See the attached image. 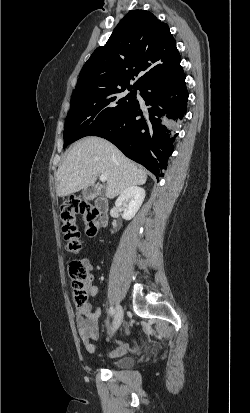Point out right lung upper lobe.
<instances>
[{
  "mask_svg": "<svg viewBox=\"0 0 250 413\" xmlns=\"http://www.w3.org/2000/svg\"><path fill=\"white\" fill-rule=\"evenodd\" d=\"M180 54L167 24L151 12L130 11L106 45L98 47L83 66L73 94L123 87L175 76L183 71ZM142 73L132 86L131 80Z\"/></svg>",
  "mask_w": 250,
  "mask_h": 413,
  "instance_id": "right-lung-upper-lobe-1",
  "label": "right lung upper lobe"
}]
</instances>
